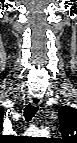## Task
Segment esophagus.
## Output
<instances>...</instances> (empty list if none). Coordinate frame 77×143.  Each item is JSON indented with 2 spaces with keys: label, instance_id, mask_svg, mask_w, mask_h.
<instances>
[{
  "label": "esophagus",
  "instance_id": "34e87169",
  "mask_svg": "<svg viewBox=\"0 0 77 143\" xmlns=\"http://www.w3.org/2000/svg\"><path fill=\"white\" fill-rule=\"evenodd\" d=\"M30 102L34 106H39L41 104V99L39 97H33Z\"/></svg>",
  "mask_w": 77,
  "mask_h": 143
}]
</instances>
